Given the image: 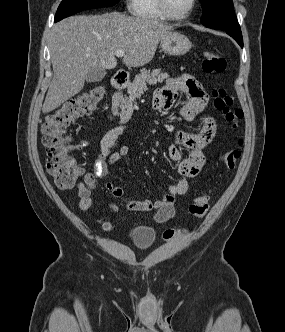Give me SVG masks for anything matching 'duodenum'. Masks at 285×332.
I'll return each instance as SVG.
<instances>
[{
  "mask_svg": "<svg viewBox=\"0 0 285 332\" xmlns=\"http://www.w3.org/2000/svg\"><path fill=\"white\" fill-rule=\"evenodd\" d=\"M128 83L127 74L124 72H118L114 75L112 84L116 90H122L126 87Z\"/></svg>",
  "mask_w": 285,
  "mask_h": 332,
  "instance_id": "410a0bca",
  "label": "duodenum"
}]
</instances>
